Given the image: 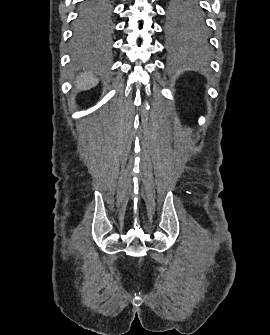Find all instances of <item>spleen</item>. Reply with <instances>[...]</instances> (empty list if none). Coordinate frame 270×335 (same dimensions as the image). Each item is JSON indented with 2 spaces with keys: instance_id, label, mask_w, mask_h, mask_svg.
Instances as JSON below:
<instances>
[{
  "instance_id": "3e777b00",
  "label": "spleen",
  "mask_w": 270,
  "mask_h": 335,
  "mask_svg": "<svg viewBox=\"0 0 270 335\" xmlns=\"http://www.w3.org/2000/svg\"><path fill=\"white\" fill-rule=\"evenodd\" d=\"M186 60H188V62H195L196 56H194V54H188V56H186Z\"/></svg>"
}]
</instances>
